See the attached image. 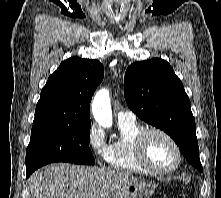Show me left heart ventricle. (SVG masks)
<instances>
[{"label": "left heart ventricle", "instance_id": "left-heart-ventricle-1", "mask_svg": "<svg viewBox=\"0 0 221 198\" xmlns=\"http://www.w3.org/2000/svg\"><path fill=\"white\" fill-rule=\"evenodd\" d=\"M146 154L149 162L157 168H171L177 155L172 144L159 134H151L146 142Z\"/></svg>", "mask_w": 221, "mask_h": 198}]
</instances>
